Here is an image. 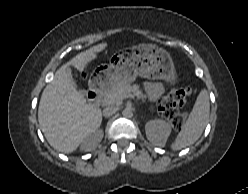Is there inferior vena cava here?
I'll return each instance as SVG.
<instances>
[{"mask_svg": "<svg viewBox=\"0 0 248 194\" xmlns=\"http://www.w3.org/2000/svg\"><path fill=\"white\" fill-rule=\"evenodd\" d=\"M116 112H117V108L116 107L109 106V107L104 108V110H103V116L110 117L113 114H115Z\"/></svg>", "mask_w": 248, "mask_h": 194, "instance_id": "602c4592", "label": "inferior vena cava"}]
</instances>
